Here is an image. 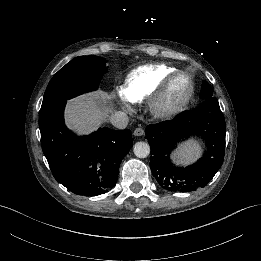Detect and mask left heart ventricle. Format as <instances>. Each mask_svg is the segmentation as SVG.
<instances>
[{
  "instance_id": "left-heart-ventricle-1",
  "label": "left heart ventricle",
  "mask_w": 261,
  "mask_h": 261,
  "mask_svg": "<svg viewBox=\"0 0 261 261\" xmlns=\"http://www.w3.org/2000/svg\"><path fill=\"white\" fill-rule=\"evenodd\" d=\"M188 86L185 80L179 79L174 86L173 92H172V100L181 99L184 97L187 93Z\"/></svg>"
}]
</instances>
